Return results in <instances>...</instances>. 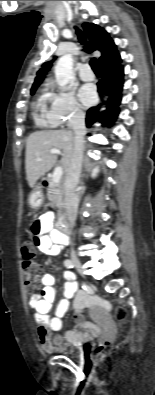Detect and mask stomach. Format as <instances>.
<instances>
[{
    "instance_id": "obj_1",
    "label": "stomach",
    "mask_w": 155,
    "mask_h": 395,
    "mask_svg": "<svg viewBox=\"0 0 155 395\" xmlns=\"http://www.w3.org/2000/svg\"><path fill=\"white\" fill-rule=\"evenodd\" d=\"M43 202V194L41 192L40 186H36L29 198L30 206L34 209L39 208Z\"/></svg>"
}]
</instances>
